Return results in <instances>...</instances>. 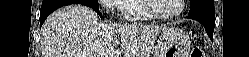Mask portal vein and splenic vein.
I'll use <instances>...</instances> for the list:
<instances>
[{"label":"portal vein and splenic vein","mask_w":249,"mask_h":57,"mask_svg":"<svg viewBox=\"0 0 249 57\" xmlns=\"http://www.w3.org/2000/svg\"><path fill=\"white\" fill-rule=\"evenodd\" d=\"M117 54H120V52H117ZM110 56H113V55H110Z\"/></svg>","instance_id":"obj_1"}]
</instances>
